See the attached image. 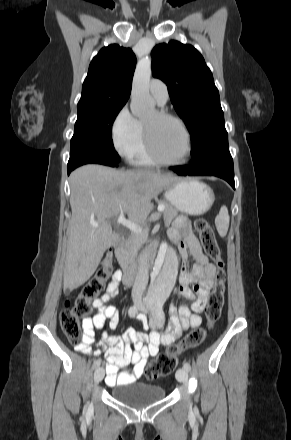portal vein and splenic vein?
I'll list each match as a JSON object with an SVG mask.
<instances>
[{"label": "portal vein and splenic vein", "instance_id": "1", "mask_svg": "<svg viewBox=\"0 0 291 440\" xmlns=\"http://www.w3.org/2000/svg\"><path fill=\"white\" fill-rule=\"evenodd\" d=\"M164 209H165L164 205H159L158 206V211L159 212H162ZM117 223L127 227L128 229H130L132 232H134L136 234H142L143 233L142 227H140L135 222H132V221H129V220L125 219L123 212H121V214L119 215V217L117 219Z\"/></svg>", "mask_w": 291, "mask_h": 440}]
</instances>
